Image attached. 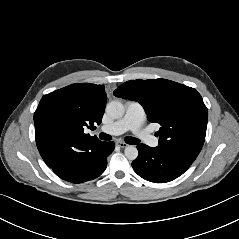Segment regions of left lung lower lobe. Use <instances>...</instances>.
<instances>
[{
    "instance_id": "obj_1",
    "label": "left lung lower lobe",
    "mask_w": 239,
    "mask_h": 239,
    "mask_svg": "<svg viewBox=\"0 0 239 239\" xmlns=\"http://www.w3.org/2000/svg\"><path fill=\"white\" fill-rule=\"evenodd\" d=\"M138 157L132 162L134 171L143 179L165 183L182 175L193 163L191 159L174 150L145 144L137 145Z\"/></svg>"
}]
</instances>
